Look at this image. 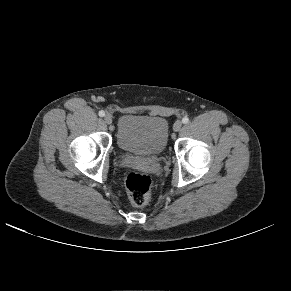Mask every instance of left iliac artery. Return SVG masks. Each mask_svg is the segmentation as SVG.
I'll return each mask as SVG.
<instances>
[{"mask_svg": "<svg viewBox=\"0 0 291 291\" xmlns=\"http://www.w3.org/2000/svg\"><path fill=\"white\" fill-rule=\"evenodd\" d=\"M182 122H183L184 124H187V123L189 122V118H188V117H184V118L182 119Z\"/></svg>", "mask_w": 291, "mask_h": 291, "instance_id": "44dca946", "label": "left iliac artery"}]
</instances>
